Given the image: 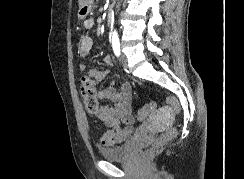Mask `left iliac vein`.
<instances>
[{"label": "left iliac vein", "mask_w": 244, "mask_h": 179, "mask_svg": "<svg viewBox=\"0 0 244 179\" xmlns=\"http://www.w3.org/2000/svg\"><path fill=\"white\" fill-rule=\"evenodd\" d=\"M121 63L124 67H127L128 66V59L126 58L125 54H121Z\"/></svg>", "instance_id": "obj_1"}]
</instances>
